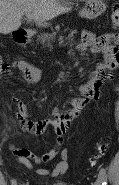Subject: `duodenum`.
<instances>
[{
    "label": "duodenum",
    "instance_id": "1",
    "mask_svg": "<svg viewBox=\"0 0 119 185\" xmlns=\"http://www.w3.org/2000/svg\"><path fill=\"white\" fill-rule=\"evenodd\" d=\"M15 37L18 42L23 43L27 38V34L24 30H18L15 34Z\"/></svg>",
    "mask_w": 119,
    "mask_h": 185
}]
</instances>
